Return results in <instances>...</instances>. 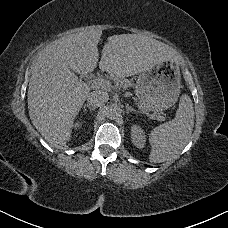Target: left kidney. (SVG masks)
<instances>
[{
    "instance_id": "left-kidney-1",
    "label": "left kidney",
    "mask_w": 228,
    "mask_h": 228,
    "mask_svg": "<svg viewBox=\"0 0 228 228\" xmlns=\"http://www.w3.org/2000/svg\"><path fill=\"white\" fill-rule=\"evenodd\" d=\"M131 139L133 144L138 149H143L145 147L146 135L144 130L140 126L138 125L131 126Z\"/></svg>"
}]
</instances>
